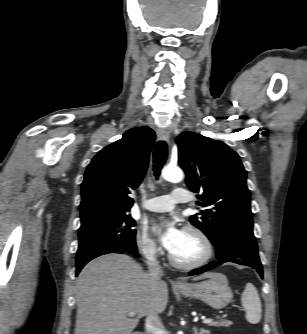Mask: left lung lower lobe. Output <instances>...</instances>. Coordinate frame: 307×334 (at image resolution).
I'll list each match as a JSON object with an SVG mask.
<instances>
[{
    "label": "left lung lower lobe",
    "instance_id": "0a47b994",
    "mask_svg": "<svg viewBox=\"0 0 307 334\" xmlns=\"http://www.w3.org/2000/svg\"><path fill=\"white\" fill-rule=\"evenodd\" d=\"M215 247L218 261L195 269L190 272V275H197L209 271L224 262H233L254 267L260 276L263 277L262 265L259 260L253 230L244 228L226 229L222 239Z\"/></svg>",
    "mask_w": 307,
    "mask_h": 334
}]
</instances>
